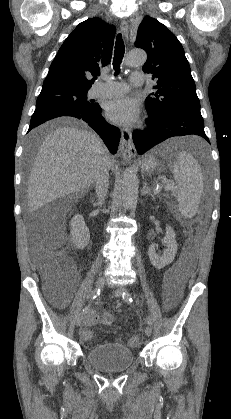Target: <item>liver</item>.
Returning a JSON list of instances; mask_svg holds the SVG:
<instances>
[{
    "label": "liver",
    "mask_w": 231,
    "mask_h": 419,
    "mask_svg": "<svg viewBox=\"0 0 231 419\" xmlns=\"http://www.w3.org/2000/svg\"><path fill=\"white\" fill-rule=\"evenodd\" d=\"M65 120L45 124L31 133H49L39 146L27 188L28 207L34 212L45 204L71 193L83 192L95 183L99 165L114 159L95 133L74 126L61 125Z\"/></svg>",
    "instance_id": "1"
}]
</instances>
